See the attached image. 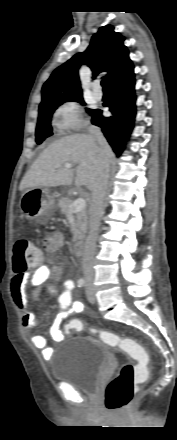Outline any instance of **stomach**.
<instances>
[{
    "mask_svg": "<svg viewBox=\"0 0 177 440\" xmlns=\"http://www.w3.org/2000/svg\"><path fill=\"white\" fill-rule=\"evenodd\" d=\"M19 207L29 219L46 222L55 213L56 205L47 188H29L21 196Z\"/></svg>",
    "mask_w": 177,
    "mask_h": 440,
    "instance_id": "1",
    "label": "stomach"
}]
</instances>
